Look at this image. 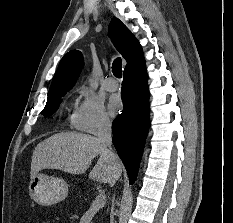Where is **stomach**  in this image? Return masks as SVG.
Instances as JSON below:
<instances>
[{"mask_svg":"<svg viewBox=\"0 0 233 223\" xmlns=\"http://www.w3.org/2000/svg\"><path fill=\"white\" fill-rule=\"evenodd\" d=\"M29 193L38 205H54L67 197L69 185L62 177L36 173L29 181Z\"/></svg>","mask_w":233,"mask_h":223,"instance_id":"0dacf381","label":"stomach"}]
</instances>
